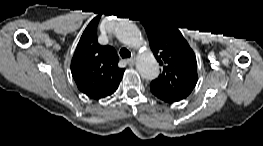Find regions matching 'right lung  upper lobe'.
Returning <instances> with one entry per match:
<instances>
[{
	"label": "right lung upper lobe",
	"instance_id": "right-lung-upper-lobe-1",
	"mask_svg": "<svg viewBox=\"0 0 263 146\" xmlns=\"http://www.w3.org/2000/svg\"><path fill=\"white\" fill-rule=\"evenodd\" d=\"M119 58L111 46L97 41V23L91 22L83 32L71 61V73L78 89L93 99L114 93L123 77Z\"/></svg>",
	"mask_w": 263,
	"mask_h": 146
}]
</instances>
